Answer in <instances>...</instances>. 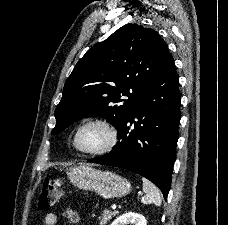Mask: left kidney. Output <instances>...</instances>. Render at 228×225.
Listing matches in <instances>:
<instances>
[{
    "mask_svg": "<svg viewBox=\"0 0 228 225\" xmlns=\"http://www.w3.org/2000/svg\"><path fill=\"white\" fill-rule=\"evenodd\" d=\"M127 223H131V225H147L145 217L138 215V213H124L121 217H117L112 225H127Z\"/></svg>",
    "mask_w": 228,
    "mask_h": 225,
    "instance_id": "5707ae66",
    "label": "left kidney"
}]
</instances>
